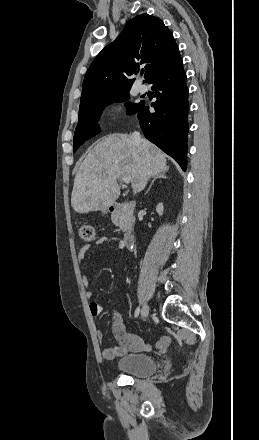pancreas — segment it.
Returning a JSON list of instances; mask_svg holds the SVG:
<instances>
[{
    "instance_id": "obj_1",
    "label": "pancreas",
    "mask_w": 259,
    "mask_h": 440,
    "mask_svg": "<svg viewBox=\"0 0 259 440\" xmlns=\"http://www.w3.org/2000/svg\"><path fill=\"white\" fill-rule=\"evenodd\" d=\"M133 219L132 217L127 213L126 209H122L118 215L113 219V223L116 226H119V228L122 231H127L132 227Z\"/></svg>"
}]
</instances>
